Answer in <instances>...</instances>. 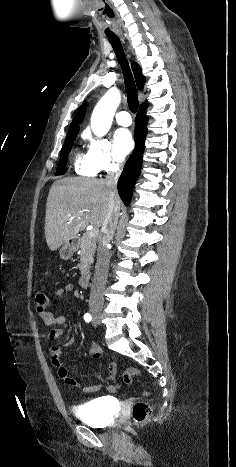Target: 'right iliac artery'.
Listing matches in <instances>:
<instances>
[{
    "label": "right iliac artery",
    "instance_id": "1",
    "mask_svg": "<svg viewBox=\"0 0 236 467\" xmlns=\"http://www.w3.org/2000/svg\"><path fill=\"white\" fill-rule=\"evenodd\" d=\"M84 320H85L86 322L89 323V322L92 320L91 314L86 313V314L84 315Z\"/></svg>",
    "mask_w": 236,
    "mask_h": 467
}]
</instances>
